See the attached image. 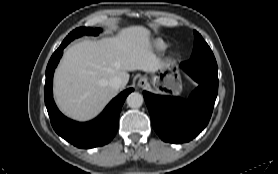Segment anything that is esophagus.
I'll return each mask as SVG.
<instances>
[{"instance_id": "34e87169", "label": "esophagus", "mask_w": 278, "mask_h": 174, "mask_svg": "<svg viewBox=\"0 0 278 174\" xmlns=\"http://www.w3.org/2000/svg\"><path fill=\"white\" fill-rule=\"evenodd\" d=\"M137 86L139 88H142V89L146 88L148 86L147 78L146 77H141L137 82Z\"/></svg>"}]
</instances>
